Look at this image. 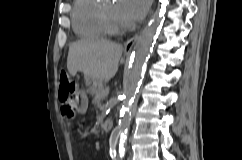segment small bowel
<instances>
[{
  "instance_id": "obj_1",
  "label": "small bowel",
  "mask_w": 242,
  "mask_h": 160,
  "mask_svg": "<svg viewBox=\"0 0 242 160\" xmlns=\"http://www.w3.org/2000/svg\"><path fill=\"white\" fill-rule=\"evenodd\" d=\"M86 109H87V103H86V101H84L81 105L78 106V109L77 110L79 112H84V111H86Z\"/></svg>"
}]
</instances>
